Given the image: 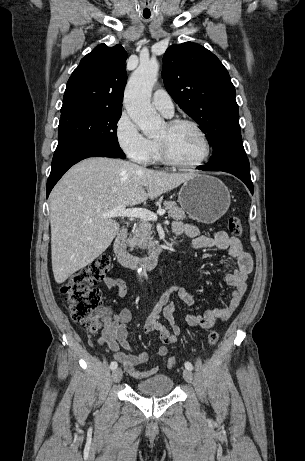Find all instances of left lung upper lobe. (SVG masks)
Returning <instances> with one entry per match:
<instances>
[{
  "label": "left lung upper lobe",
  "instance_id": "5c2ea615",
  "mask_svg": "<svg viewBox=\"0 0 305 461\" xmlns=\"http://www.w3.org/2000/svg\"><path fill=\"white\" fill-rule=\"evenodd\" d=\"M163 62L166 90L201 126L213 147L207 165L220 164L234 140L242 139L235 87L226 68L213 53L192 42L170 46Z\"/></svg>",
  "mask_w": 305,
  "mask_h": 461
}]
</instances>
